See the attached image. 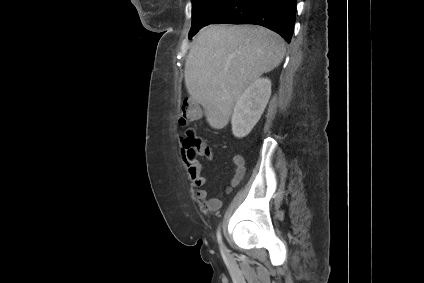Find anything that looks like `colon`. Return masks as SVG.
I'll list each match as a JSON object with an SVG mask.
<instances>
[{
    "label": "colon",
    "mask_w": 424,
    "mask_h": 283,
    "mask_svg": "<svg viewBox=\"0 0 424 283\" xmlns=\"http://www.w3.org/2000/svg\"><path fill=\"white\" fill-rule=\"evenodd\" d=\"M200 113H201V110L194 101L192 100L185 101L180 113V118H179L180 125L185 126L195 121L199 117ZM185 143L187 146L192 148V154L193 152H197L207 157L211 155V148L207 146L206 144H204L200 139L196 138L192 134H189V136L185 140ZM192 154H190L191 157H193Z\"/></svg>",
    "instance_id": "5ec220e1"
}]
</instances>
